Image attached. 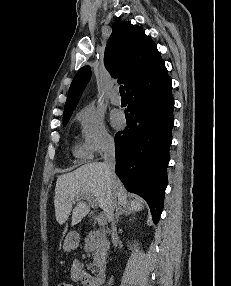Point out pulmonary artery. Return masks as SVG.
I'll return each mask as SVG.
<instances>
[{
    "label": "pulmonary artery",
    "mask_w": 231,
    "mask_h": 286,
    "mask_svg": "<svg viewBox=\"0 0 231 286\" xmlns=\"http://www.w3.org/2000/svg\"><path fill=\"white\" fill-rule=\"evenodd\" d=\"M110 101L113 105H120L122 100L121 97L119 95V91L118 88H114L112 91V94L110 96Z\"/></svg>",
    "instance_id": "e3ab8cb5"
}]
</instances>
